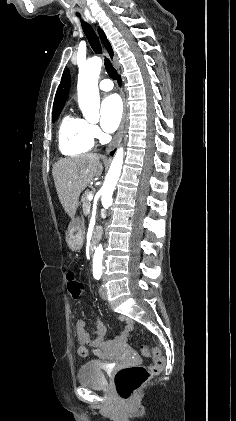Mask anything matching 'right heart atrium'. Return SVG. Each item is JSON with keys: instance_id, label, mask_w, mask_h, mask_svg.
Wrapping results in <instances>:
<instances>
[{"instance_id": "d8ad5b80", "label": "right heart atrium", "mask_w": 236, "mask_h": 421, "mask_svg": "<svg viewBox=\"0 0 236 421\" xmlns=\"http://www.w3.org/2000/svg\"><path fill=\"white\" fill-rule=\"evenodd\" d=\"M89 129L93 138H98L100 136V131L95 123L89 122Z\"/></svg>"}]
</instances>
